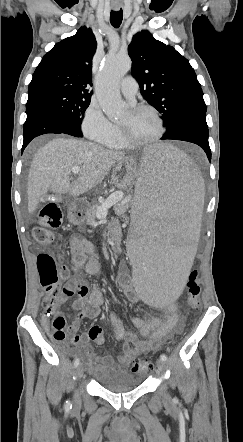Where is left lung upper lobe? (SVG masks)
I'll use <instances>...</instances> for the list:
<instances>
[{
  "label": "left lung upper lobe",
  "instance_id": "1",
  "mask_svg": "<svg viewBox=\"0 0 243 442\" xmlns=\"http://www.w3.org/2000/svg\"><path fill=\"white\" fill-rule=\"evenodd\" d=\"M128 54L141 94L161 113L166 129L185 110L205 106L194 69L172 46L141 31L133 37Z\"/></svg>",
  "mask_w": 243,
  "mask_h": 442
}]
</instances>
